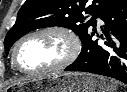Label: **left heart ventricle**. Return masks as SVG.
I'll use <instances>...</instances> for the list:
<instances>
[{"instance_id": "1", "label": "left heart ventricle", "mask_w": 127, "mask_h": 92, "mask_svg": "<svg viewBox=\"0 0 127 92\" xmlns=\"http://www.w3.org/2000/svg\"><path fill=\"white\" fill-rule=\"evenodd\" d=\"M67 39L57 33L33 36L20 47L18 59L27 70H36L58 64L68 53Z\"/></svg>"}]
</instances>
